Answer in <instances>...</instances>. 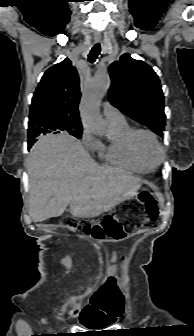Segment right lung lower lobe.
<instances>
[{"label": "right lung lower lobe", "mask_w": 194, "mask_h": 336, "mask_svg": "<svg viewBox=\"0 0 194 336\" xmlns=\"http://www.w3.org/2000/svg\"><path fill=\"white\" fill-rule=\"evenodd\" d=\"M29 145V148L32 146V144H28Z\"/></svg>", "instance_id": "obj_1"}]
</instances>
